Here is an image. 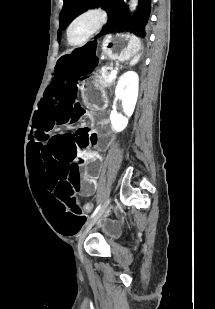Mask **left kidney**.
<instances>
[{
	"label": "left kidney",
	"mask_w": 215,
	"mask_h": 309,
	"mask_svg": "<svg viewBox=\"0 0 215 309\" xmlns=\"http://www.w3.org/2000/svg\"><path fill=\"white\" fill-rule=\"evenodd\" d=\"M132 86H135L133 92ZM117 98H121L124 112L127 116H122L117 110H111L110 120L113 130H124L128 124V116L134 112L138 96V74L134 70H127L122 76L115 88Z\"/></svg>",
	"instance_id": "5707ae66"
}]
</instances>
